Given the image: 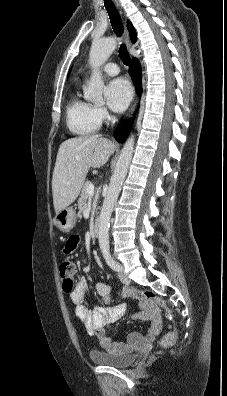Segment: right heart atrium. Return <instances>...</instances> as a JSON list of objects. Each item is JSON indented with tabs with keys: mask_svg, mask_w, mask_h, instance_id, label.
Wrapping results in <instances>:
<instances>
[{
	"mask_svg": "<svg viewBox=\"0 0 227 396\" xmlns=\"http://www.w3.org/2000/svg\"><path fill=\"white\" fill-rule=\"evenodd\" d=\"M94 111H95V115H96L97 119L100 122L107 120L109 117L107 110L103 107L95 106Z\"/></svg>",
	"mask_w": 227,
	"mask_h": 396,
	"instance_id": "1",
	"label": "right heart atrium"
}]
</instances>
